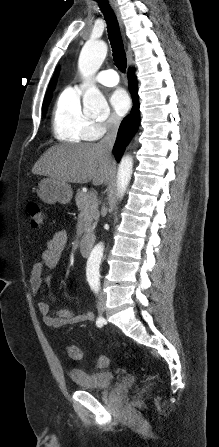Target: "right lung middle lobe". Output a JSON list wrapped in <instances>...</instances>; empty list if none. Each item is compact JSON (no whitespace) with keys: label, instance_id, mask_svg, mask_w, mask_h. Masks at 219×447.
Masks as SVG:
<instances>
[{"label":"right lung middle lobe","instance_id":"1","mask_svg":"<svg viewBox=\"0 0 219 447\" xmlns=\"http://www.w3.org/2000/svg\"><path fill=\"white\" fill-rule=\"evenodd\" d=\"M50 99H51V97H48V98H46V99L44 100V102H43V113H45L46 107H47V105H48Z\"/></svg>","mask_w":219,"mask_h":447}]
</instances>
